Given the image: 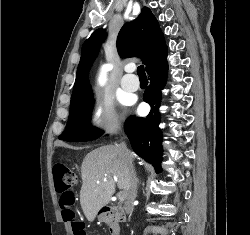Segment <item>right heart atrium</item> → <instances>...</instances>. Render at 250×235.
Masks as SVG:
<instances>
[{
    "instance_id": "obj_1",
    "label": "right heart atrium",
    "mask_w": 250,
    "mask_h": 235,
    "mask_svg": "<svg viewBox=\"0 0 250 235\" xmlns=\"http://www.w3.org/2000/svg\"><path fill=\"white\" fill-rule=\"evenodd\" d=\"M91 126L105 133H117L122 129V121L114 104L105 97H98L90 117Z\"/></svg>"
}]
</instances>
